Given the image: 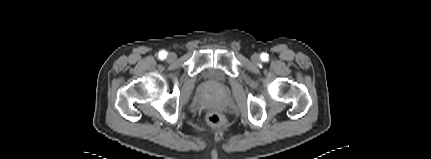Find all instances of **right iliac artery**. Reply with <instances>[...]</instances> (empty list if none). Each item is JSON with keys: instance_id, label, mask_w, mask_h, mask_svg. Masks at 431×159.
I'll use <instances>...</instances> for the list:
<instances>
[{"instance_id": "right-iliac-artery-1", "label": "right iliac artery", "mask_w": 431, "mask_h": 159, "mask_svg": "<svg viewBox=\"0 0 431 159\" xmlns=\"http://www.w3.org/2000/svg\"><path fill=\"white\" fill-rule=\"evenodd\" d=\"M166 56H167V52L166 51H161V52H159V58L160 59H164V58H166Z\"/></svg>"}]
</instances>
